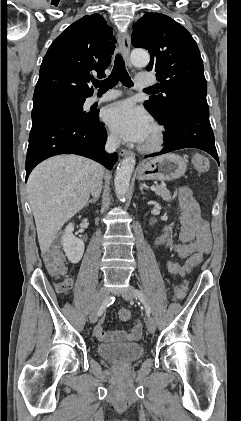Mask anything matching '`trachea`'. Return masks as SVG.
I'll list each match as a JSON object with an SVG mask.
<instances>
[{"mask_svg": "<svg viewBox=\"0 0 241 421\" xmlns=\"http://www.w3.org/2000/svg\"><path fill=\"white\" fill-rule=\"evenodd\" d=\"M119 81H121V83L126 87H131L133 85L121 55L116 56L114 67L109 77L102 81H93V85L96 88L99 87V92H106L107 90L115 87Z\"/></svg>", "mask_w": 241, "mask_h": 421, "instance_id": "3493384b", "label": "trachea"}]
</instances>
